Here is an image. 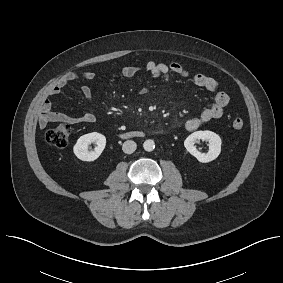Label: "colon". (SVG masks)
<instances>
[{"label": "colon", "mask_w": 283, "mask_h": 283, "mask_svg": "<svg viewBox=\"0 0 283 283\" xmlns=\"http://www.w3.org/2000/svg\"><path fill=\"white\" fill-rule=\"evenodd\" d=\"M244 124V120L240 117H235L232 120V128L235 130H241L244 127ZM70 136L71 127L66 123L51 128L46 132L47 142L57 148H63L67 146Z\"/></svg>", "instance_id": "obj_1"}]
</instances>
